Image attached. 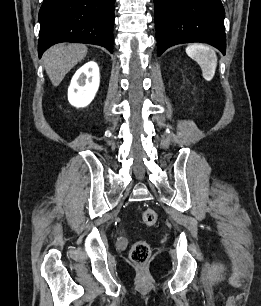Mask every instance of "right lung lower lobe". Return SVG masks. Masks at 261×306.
<instances>
[{"label": "right lung lower lobe", "instance_id": "98d812e1", "mask_svg": "<svg viewBox=\"0 0 261 306\" xmlns=\"http://www.w3.org/2000/svg\"><path fill=\"white\" fill-rule=\"evenodd\" d=\"M115 0H44L39 11L38 54L51 45L79 42L113 52Z\"/></svg>", "mask_w": 261, "mask_h": 306}]
</instances>
